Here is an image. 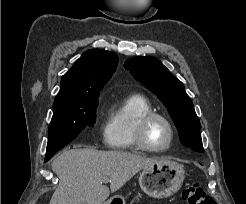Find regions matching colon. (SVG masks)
Masks as SVG:
<instances>
[{"label":"colon","instance_id":"obj_1","mask_svg":"<svg viewBox=\"0 0 246 204\" xmlns=\"http://www.w3.org/2000/svg\"><path fill=\"white\" fill-rule=\"evenodd\" d=\"M182 198L187 204H216L215 200L198 183L185 188L182 191Z\"/></svg>","mask_w":246,"mask_h":204}]
</instances>
